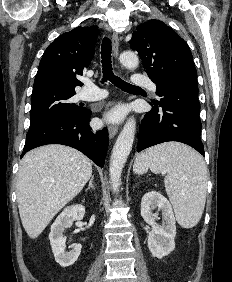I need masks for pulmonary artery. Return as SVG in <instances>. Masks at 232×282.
I'll use <instances>...</instances> for the list:
<instances>
[{"label": "pulmonary artery", "instance_id": "pulmonary-artery-1", "mask_svg": "<svg viewBox=\"0 0 232 282\" xmlns=\"http://www.w3.org/2000/svg\"><path fill=\"white\" fill-rule=\"evenodd\" d=\"M133 85H143L148 87L152 92H156V85L147 77L141 74H135L132 78ZM106 96V92L98 88L92 82H87L83 91L81 92V98L86 101L101 100Z\"/></svg>", "mask_w": 232, "mask_h": 282}]
</instances>
